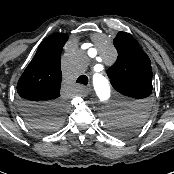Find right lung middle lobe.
I'll return each mask as SVG.
<instances>
[{"instance_id": "obj_1", "label": "right lung middle lobe", "mask_w": 174, "mask_h": 174, "mask_svg": "<svg viewBox=\"0 0 174 174\" xmlns=\"http://www.w3.org/2000/svg\"><path fill=\"white\" fill-rule=\"evenodd\" d=\"M64 106L61 103L54 105L47 113L29 118V124L38 131L49 132L59 128L62 124Z\"/></svg>"}]
</instances>
